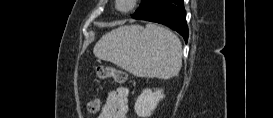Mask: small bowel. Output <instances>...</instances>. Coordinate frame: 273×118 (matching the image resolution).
<instances>
[{"label":"small bowel","mask_w":273,"mask_h":118,"mask_svg":"<svg viewBox=\"0 0 273 118\" xmlns=\"http://www.w3.org/2000/svg\"><path fill=\"white\" fill-rule=\"evenodd\" d=\"M129 90L119 87L110 91L103 103L100 118H126L128 113Z\"/></svg>","instance_id":"obj_1"}]
</instances>
